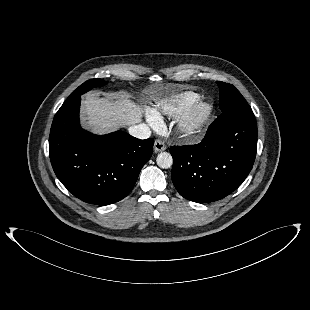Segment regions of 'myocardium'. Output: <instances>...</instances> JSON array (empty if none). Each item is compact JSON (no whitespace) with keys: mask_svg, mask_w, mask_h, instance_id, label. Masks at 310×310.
Masks as SVG:
<instances>
[{"mask_svg":"<svg viewBox=\"0 0 310 310\" xmlns=\"http://www.w3.org/2000/svg\"><path fill=\"white\" fill-rule=\"evenodd\" d=\"M213 114V105L198 99L179 114L177 128L180 135L187 139H196L206 128Z\"/></svg>","mask_w":310,"mask_h":310,"instance_id":"myocardium-1","label":"myocardium"}]
</instances>
